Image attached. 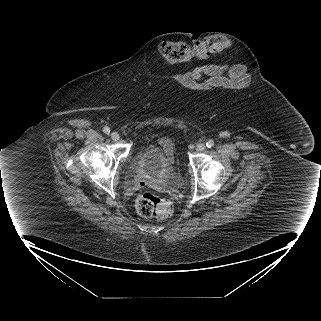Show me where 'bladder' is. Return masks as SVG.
Instances as JSON below:
<instances>
[{"mask_svg":"<svg viewBox=\"0 0 321 321\" xmlns=\"http://www.w3.org/2000/svg\"><path fill=\"white\" fill-rule=\"evenodd\" d=\"M175 167L176 164L160 147L149 144L137 155L133 162L132 173L147 180H157L169 174Z\"/></svg>","mask_w":321,"mask_h":321,"instance_id":"bladder-1","label":"bladder"}]
</instances>
